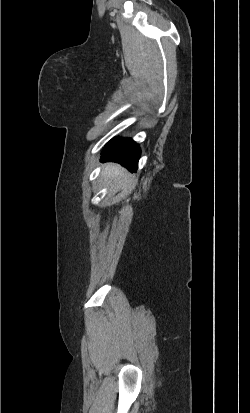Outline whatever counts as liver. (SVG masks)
<instances>
[{"instance_id": "1", "label": "liver", "mask_w": 250, "mask_h": 413, "mask_svg": "<svg viewBox=\"0 0 250 413\" xmlns=\"http://www.w3.org/2000/svg\"><path fill=\"white\" fill-rule=\"evenodd\" d=\"M102 176L107 179L115 180L119 185L126 180L125 170L114 163H108L104 166Z\"/></svg>"}]
</instances>
